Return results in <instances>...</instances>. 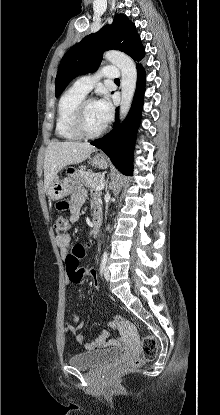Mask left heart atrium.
Instances as JSON below:
<instances>
[{"mask_svg":"<svg viewBox=\"0 0 220 415\" xmlns=\"http://www.w3.org/2000/svg\"><path fill=\"white\" fill-rule=\"evenodd\" d=\"M95 105L97 115L101 122L105 125L107 122H109L113 114V107L109 96L104 94L98 101L95 102Z\"/></svg>","mask_w":220,"mask_h":415,"instance_id":"left-heart-atrium-1","label":"left heart atrium"}]
</instances>
